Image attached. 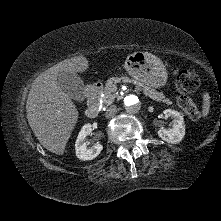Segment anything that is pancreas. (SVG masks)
<instances>
[{
	"label": "pancreas",
	"mask_w": 221,
	"mask_h": 221,
	"mask_svg": "<svg viewBox=\"0 0 221 221\" xmlns=\"http://www.w3.org/2000/svg\"><path fill=\"white\" fill-rule=\"evenodd\" d=\"M121 81L132 82L136 84L137 90L142 91L146 96L150 97L152 100H155L157 102H163L168 105L172 104V101L169 98H166L162 92H157L154 88L150 86H146L128 77H121V78L114 77V78H110L109 80H107L105 84V89L103 91L104 96L102 97L103 106H108L115 100L116 95L114 93L116 91V84Z\"/></svg>",
	"instance_id": "1"
}]
</instances>
